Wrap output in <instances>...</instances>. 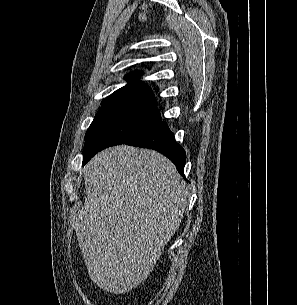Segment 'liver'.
<instances>
[{"mask_svg": "<svg viewBox=\"0 0 297 305\" xmlns=\"http://www.w3.org/2000/svg\"><path fill=\"white\" fill-rule=\"evenodd\" d=\"M84 181L75 231L89 277L107 292H129L149 276L179 228L186 183L164 155L127 145L96 154Z\"/></svg>", "mask_w": 297, "mask_h": 305, "instance_id": "6515ba94", "label": "liver"}]
</instances>
